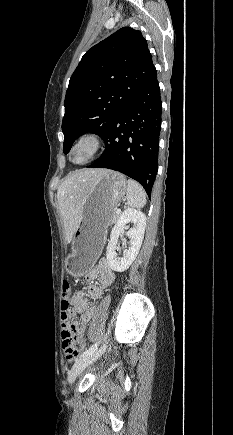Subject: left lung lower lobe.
Masks as SVG:
<instances>
[{
  "mask_svg": "<svg viewBox=\"0 0 233 435\" xmlns=\"http://www.w3.org/2000/svg\"><path fill=\"white\" fill-rule=\"evenodd\" d=\"M161 112L155 71L138 96L113 121L104 138L103 154L88 167L119 171L138 181L150 198L158 166Z\"/></svg>",
  "mask_w": 233,
  "mask_h": 435,
  "instance_id": "0a47b994",
  "label": "left lung lower lobe"
}]
</instances>
